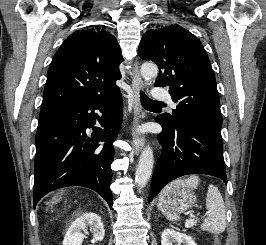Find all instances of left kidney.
<instances>
[{"label":"left kidney","mask_w":266,"mask_h":245,"mask_svg":"<svg viewBox=\"0 0 266 245\" xmlns=\"http://www.w3.org/2000/svg\"><path fill=\"white\" fill-rule=\"evenodd\" d=\"M172 243H177V245H196L189 235L177 233L173 229H165L162 233L161 245H172Z\"/></svg>","instance_id":"obj_1"}]
</instances>
